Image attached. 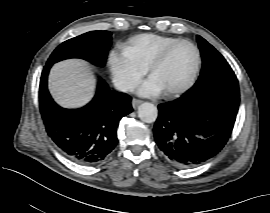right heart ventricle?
<instances>
[{"label": "right heart ventricle", "instance_id": "right-heart-ventricle-1", "mask_svg": "<svg viewBox=\"0 0 270 213\" xmlns=\"http://www.w3.org/2000/svg\"><path fill=\"white\" fill-rule=\"evenodd\" d=\"M180 39L156 34H143L131 39L124 52L133 63L148 67L150 62L167 46Z\"/></svg>", "mask_w": 270, "mask_h": 213}]
</instances>
